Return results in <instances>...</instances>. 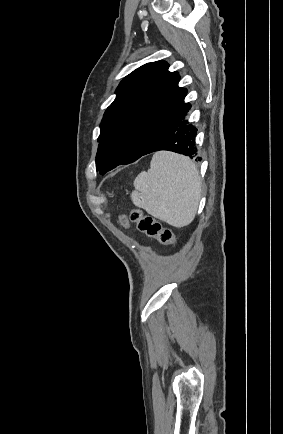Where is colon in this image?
Wrapping results in <instances>:
<instances>
[{
	"mask_svg": "<svg viewBox=\"0 0 283 434\" xmlns=\"http://www.w3.org/2000/svg\"><path fill=\"white\" fill-rule=\"evenodd\" d=\"M130 219L136 223L138 230L147 237L157 239L164 245L176 243L175 235L171 229L164 228L159 221L145 214L141 209H133Z\"/></svg>",
	"mask_w": 283,
	"mask_h": 434,
	"instance_id": "colon-1",
	"label": "colon"
}]
</instances>
